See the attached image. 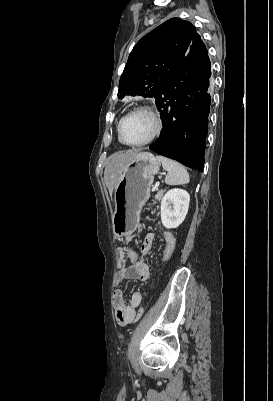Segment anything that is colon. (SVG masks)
I'll return each mask as SVG.
<instances>
[{
    "mask_svg": "<svg viewBox=\"0 0 273 401\" xmlns=\"http://www.w3.org/2000/svg\"><path fill=\"white\" fill-rule=\"evenodd\" d=\"M148 279H149V276H148V274H146V273H141V274L139 275V280H140L141 282H146V281H148Z\"/></svg>",
    "mask_w": 273,
    "mask_h": 401,
    "instance_id": "obj_1",
    "label": "colon"
}]
</instances>
